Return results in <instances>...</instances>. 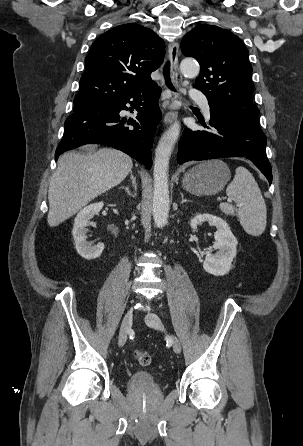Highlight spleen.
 I'll return each mask as SVG.
<instances>
[{"instance_id": "3e777b00", "label": "spleen", "mask_w": 303, "mask_h": 446, "mask_svg": "<svg viewBox=\"0 0 303 446\" xmlns=\"http://www.w3.org/2000/svg\"><path fill=\"white\" fill-rule=\"evenodd\" d=\"M226 194L238 208L222 203L221 211L227 215H236L247 234L261 235L266 228V204L257 182L245 167L236 168L235 177L227 186Z\"/></svg>"}]
</instances>
